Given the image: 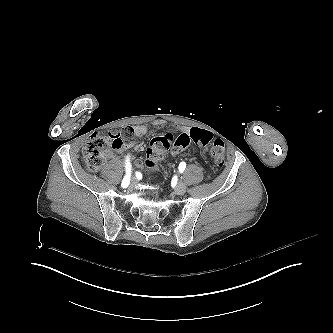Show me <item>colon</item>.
Masks as SVG:
<instances>
[{"mask_svg": "<svg viewBox=\"0 0 333 333\" xmlns=\"http://www.w3.org/2000/svg\"><path fill=\"white\" fill-rule=\"evenodd\" d=\"M184 132L177 138L176 143H174V135L170 132H164L153 137L146 150L147 159L144 162L145 167L157 170L168 150L172 154L183 152L190 141H192L198 150L206 148L218 166L225 164V147L222 140L216 138L217 134L215 131H203L188 125L185 127ZM131 135V130L126 127L120 131L116 129L109 132L102 130L97 134H93L83 149L84 159L88 168L90 170L99 169L109 154L113 150H117L122 145L123 140H129Z\"/></svg>", "mask_w": 333, "mask_h": 333, "instance_id": "colon-1", "label": "colon"}]
</instances>
